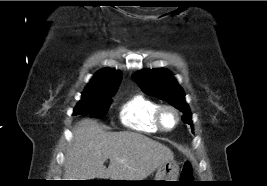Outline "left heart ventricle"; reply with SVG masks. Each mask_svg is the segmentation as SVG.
<instances>
[{
  "instance_id": "obj_1",
  "label": "left heart ventricle",
  "mask_w": 267,
  "mask_h": 186,
  "mask_svg": "<svg viewBox=\"0 0 267 186\" xmlns=\"http://www.w3.org/2000/svg\"><path fill=\"white\" fill-rule=\"evenodd\" d=\"M176 121L175 114L172 111H165L163 114V124L165 127L170 128L174 125Z\"/></svg>"
}]
</instances>
